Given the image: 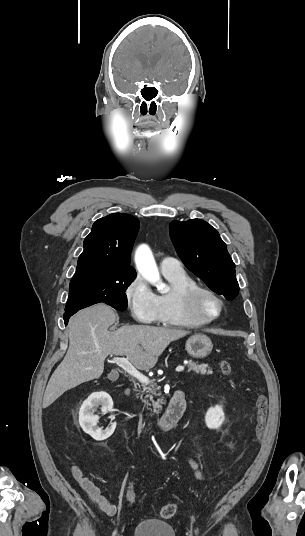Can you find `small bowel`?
<instances>
[{
	"label": "small bowel",
	"mask_w": 305,
	"mask_h": 536,
	"mask_svg": "<svg viewBox=\"0 0 305 536\" xmlns=\"http://www.w3.org/2000/svg\"><path fill=\"white\" fill-rule=\"evenodd\" d=\"M187 463L197 479H202L203 475L199 470L198 464L192 457H187ZM73 478L79 483L84 490L88 500L104 515L114 516L117 513V506L101 493L99 487L88 477L83 475L80 468L76 465L71 466Z\"/></svg>",
	"instance_id": "1"
}]
</instances>
